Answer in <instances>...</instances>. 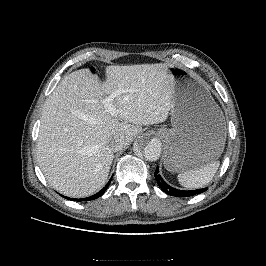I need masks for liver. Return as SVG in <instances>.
I'll list each match as a JSON object with an SVG mask.
<instances>
[{
	"mask_svg": "<svg viewBox=\"0 0 266 266\" xmlns=\"http://www.w3.org/2000/svg\"><path fill=\"white\" fill-rule=\"evenodd\" d=\"M170 66H108L105 82L81 69L60 81L43 106L37 143L40 168L54 189L81 198L105 185L114 158L109 141L123 136L126 147L142 126L167 119L173 94ZM118 91L113 104L119 113L112 116L102 100Z\"/></svg>",
	"mask_w": 266,
	"mask_h": 266,
	"instance_id": "1",
	"label": "liver"
}]
</instances>
